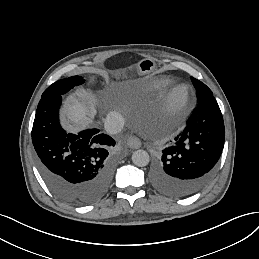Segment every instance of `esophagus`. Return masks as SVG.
<instances>
[{"label":"esophagus","mask_w":259,"mask_h":259,"mask_svg":"<svg viewBox=\"0 0 259 259\" xmlns=\"http://www.w3.org/2000/svg\"><path fill=\"white\" fill-rule=\"evenodd\" d=\"M127 145L132 149H138L141 147L142 142L138 137L132 135L128 137Z\"/></svg>","instance_id":"1"}]
</instances>
